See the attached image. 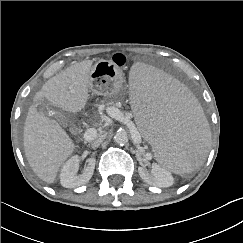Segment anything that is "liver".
I'll list each match as a JSON object with an SVG mask.
<instances>
[{
	"label": "liver",
	"instance_id": "6515ba94",
	"mask_svg": "<svg viewBox=\"0 0 243 243\" xmlns=\"http://www.w3.org/2000/svg\"><path fill=\"white\" fill-rule=\"evenodd\" d=\"M92 67V60H84L49 79L28 110L23 133L25 156L33 172L48 184L55 181L60 167L74 152L75 144L56 120L37 111L35 103L45 99L64 111H82L89 99Z\"/></svg>",
	"mask_w": 243,
	"mask_h": 243
}]
</instances>
